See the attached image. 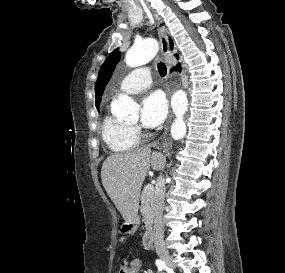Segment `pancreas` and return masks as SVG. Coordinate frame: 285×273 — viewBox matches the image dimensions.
I'll list each match as a JSON object with an SVG mask.
<instances>
[{
	"instance_id": "cf45deb5",
	"label": "pancreas",
	"mask_w": 285,
	"mask_h": 273,
	"mask_svg": "<svg viewBox=\"0 0 285 273\" xmlns=\"http://www.w3.org/2000/svg\"><path fill=\"white\" fill-rule=\"evenodd\" d=\"M154 188L144 189L141 195V214L144 217L146 227H150L153 216Z\"/></svg>"
}]
</instances>
